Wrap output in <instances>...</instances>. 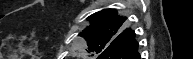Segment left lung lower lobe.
I'll use <instances>...</instances> for the list:
<instances>
[{
  "mask_svg": "<svg viewBox=\"0 0 193 59\" xmlns=\"http://www.w3.org/2000/svg\"><path fill=\"white\" fill-rule=\"evenodd\" d=\"M134 36L133 30H125L120 39L113 46L108 47L97 59H140L137 51L138 43Z\"/></svg>",
  "mask_w": 193,
  "mask_h": 59,
  "instance_id": "obj_1",
  "label": "left lung lower lobe"
}]
</instances>
